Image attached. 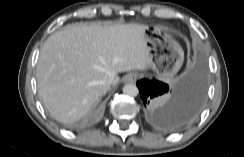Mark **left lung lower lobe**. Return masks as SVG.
<instances>
[{"label":"left lung lower lobe","instance_id":"0a47b994","mask_svg":"<svg viewBox=\"0 0 244 157\" xmlns=\"http://www.w3.org/2000/svg\"><path fill=\"white\" fill-rule=\"evenodd\" d=\"M149 120L159 128L176 131L200 113L206 94V74L202 63L196 65L172 86L156 79L137 82Z\"/></svg>","mask_w":244,"mask_h":157}]
</instances>
